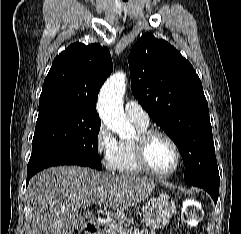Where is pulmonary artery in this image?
<instances>
[{
	"mask_svg": "<svg viewBox=\"0 0 241 234\" xmlns=\"http://www.w3.org/2000/svg\"><path fill=\"white\" fill-rule=\"evenodd\" d=\"M125 112L127 117L134 123L140 125L149 124V116L142 106L135 100H128L125 103Z\"/></svg>",
	"mask_w": 241,
	"mask_h": 234,
	"instance_id": "e3ab8cb5",
	"label": "pulmonary artery"
}]
</instances>
